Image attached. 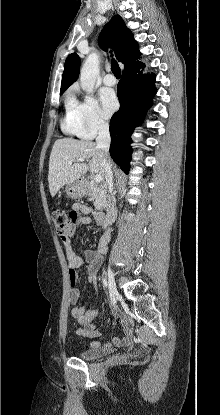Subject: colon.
Instances as JSON below:
<instances>
[{"instance_id": "obj_1", "label": "colon", "mask_w": 220, "mask_h": 415, "mask_svg": "<svg viewBox=\"0 0 220 415\" xmlns=\"http://www.w3.org/2000/svg\"><path fill=\"white\" fill-rule=\"evenodd\" d=\"M71 218V213L65 210H55L52 214L53 223L57 233L62 235L67 229Z\"/></svg>"}]
</instances>
